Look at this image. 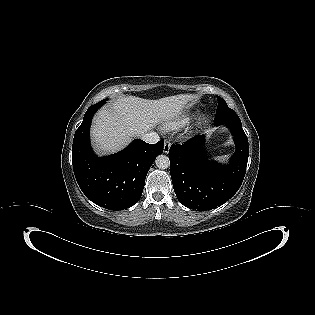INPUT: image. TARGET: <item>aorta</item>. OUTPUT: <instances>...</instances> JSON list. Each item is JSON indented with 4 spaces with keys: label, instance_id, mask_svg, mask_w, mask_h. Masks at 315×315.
<instances>
[{
    "label": "aorta",
    "instance_id": "obj_1",
    "mask_svg": "<svg viewBox=\"0 0 315 315\" xmlns=\"http://www.w3.org/2000/svg\"><path fill=\"white\" fill-rule=\"evenodd\" d=\"M156 166L159 169H167L169 167L170 161L166 155H159L155 160Z\"/></svg>",
    "mask_w": 315,
    "mask_h": 315
}]
</instances>
